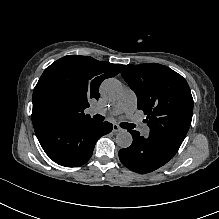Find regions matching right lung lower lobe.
Masks as SVG:
<instances>
[{
    "instance_id": "right-lung-lower-lobe-1",
    "label": "right lung lower lobe",
    "mask_w": 219,
    "mask_h": 219,
    "mask_svg": "<svg viewBox=\"0 0 219 219\" xmlns=\"http://www.w3.org/2000/svg\"><path fill=\"white\" fill-rule=\"evenodd\" d=\"M36 136L45 153L55 163L78 167L92 156L96 141L112 131L109 122L91 120L33 122Z\"/></svg>"
}]
</instances>
